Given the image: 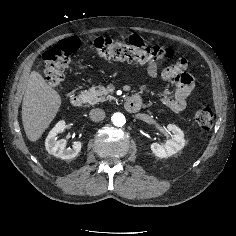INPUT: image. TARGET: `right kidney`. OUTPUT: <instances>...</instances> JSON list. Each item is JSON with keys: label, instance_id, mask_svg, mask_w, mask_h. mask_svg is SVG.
Listing matches in <instances>:
<instances>
[{"label": "right kidney", "instance_id": "ca27d5eb", "mask_svg": "<svg viewBox=\"0 0 236 236\" xmlns=\"http://www.w3.org/2000/svg\"><path fill=\"white\" fill-rule=\"evenodd\" d=\"M64 129L65 122L59 121L49 132L45 141V148L48 153L54 155L57 158L66 160L73 159L81 151L82 143L80 141H76L73 143L72 148H66L65 139L57 140V135L63 132Z\"/></svg>", "mask_w": 236, "mask_h": 236}]
</instances>
